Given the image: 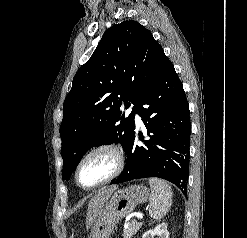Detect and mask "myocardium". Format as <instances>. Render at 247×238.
Here are the masks:
<instances>
[{"instance_id":"f54148a6","label":"myocardium","mask_w":247,"mask_h":238,"mask_svg":"<svg viewBox=\"0 0 247 238\" xmlns=\"http://www.w3.org/2000/svg\"><path fill=\"white\" fill-rule=\"evenodd\" d=\"M103 152L110 154L115 161V167H114L112 173L109 176H107L105 179H103V180H101V181H99L93 185H89V186L83 185L79 180L80 168L85 163V161H87L90 157H92L98 153H103ZM124 167H125V155H124L123 150L118 145H116L112 142H102V143H99V144L93 146L92 148H90L87 152H85L81 156V158L77 162L75 169H74V181H75L76 185L78 187H80L81 189L92 190V189L98 188L102 185H105V184L111 182L116 177H118L121 174V172L123 171Z\"/></svg>"}]
</instances>
